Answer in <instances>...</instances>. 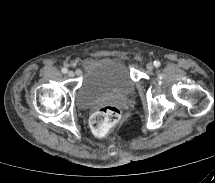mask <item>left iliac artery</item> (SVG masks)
<instances>
[{
	"label": "left iliac artery",
	"instance_id": "left-iliac-artery-1",
	"mask_svg": "<svg viewBox=\"0 0 215 183\" xmlns=\"http://www.w3.org/2000/svg\"><path fill=\"white\" fill-rule=\"evenodd\" d=\"M153 64L156 68H158L161 65V63L159 61H154Z\"/></svg>",
	"mask_w": 215,
	"mask_h": 183
}]
</instances>
